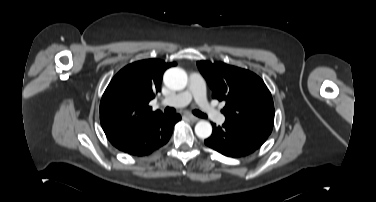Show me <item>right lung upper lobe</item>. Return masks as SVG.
I'll return each mask as SVG.
<instances>
[{"mask_svg":"<svg viewBox=\"0 0 376 202\" xmlns=\"http://www.w3.org/2000/svg\"><path fill=\"white\" fill-rule=\"evenodd\" d=\"M174 65L157 59L142 60L114 76L100 103V122L109 140L162 114L152 112L148 104L160 91L164 71Z\"/></svg>","mask_w":376,"mask_h":202,"instance_id":"right-lung-upper-lobe-1","label":"right lung upper lobe"}]
</instances>
